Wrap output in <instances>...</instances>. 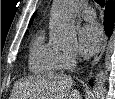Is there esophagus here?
I'll list each match as a JSON object with an SVG mask.
<instances>
[{"instance_id":"esophagus-1","label":"esophagus","mask_w":115,"mask_h":99,"mask_svg":"<svg viewBox=\"0 0 115 99\" xmlns=\"http://www.w3.org/2000/svg\"><path fill=\"white\" fill-rule=\"evenodd\" d=\"M106 44H107V40L104 39L100 50L98 51V53L96 54V56L94 57L93 61H92V66L91 68L95 67V65L99 62V60L101 59L105 49H106Z\"/></svg>"}]
</instances>
